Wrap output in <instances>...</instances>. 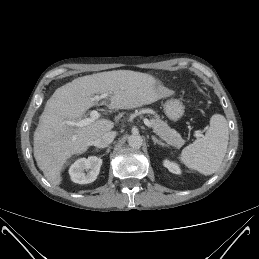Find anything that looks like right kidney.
Instances as JSON below:
<instances>
[{"instance_id":"right-kidney-1","label":"right kidney","mask_w":259,"mask_h":259,"mask_svg":"<svg viewBox=\"0 0 259 259\" xmlns=\"http://www.w3.org/2000/svg\"><path fill=\"white\" fill-rule=\"evenodd\" d=\"M101 165L102 159L99 157L90 156L88 158H80L70 166V178L78 184L94 182L100 172Z\"/></svg>"}]
</instances>
